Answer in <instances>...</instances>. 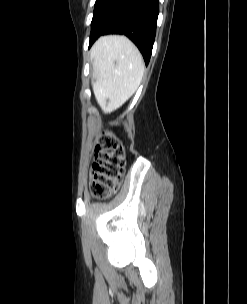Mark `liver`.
<instances>
[{
	"label": "liver",
	"mask_w": 247,
	"mask_h": 304,
	"mask_svg": "<svg viewBox=\"0 0 247 304\" xmlns=\"http://www.w3.org/2000/svg\"><path fill=\"white\" fill-rule=\"evenodd\" d=\"M95 98L105 113L121 107L137 90L144 73L143 58L125 36L100 37L90 53Z\"/></svg>",
	"instance_id": "6515ba94"
}]
</instances>
